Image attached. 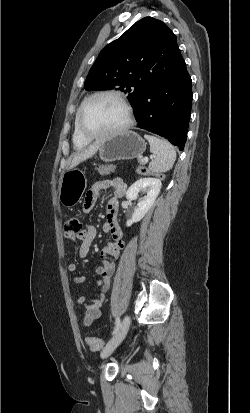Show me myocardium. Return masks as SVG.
<instances>
[{"instance_id":"myocardium-1","label":"myocardium","mask_w":250,"mask_h":413,"mask_svg":"<svg viewBox=\"0 0 250 413\" xmlns=\"http://www.w3.org/2000/svg\"><path fill=\"white\" fill-rule=\"evenodd\" d=\"M100 96H112L118 99L126 110V120L123 123V125H121L119 128L114 129L112 131L104 132V133H91L87 131L83 125V116H84V112L88 104L93 99L100 97ZM133 120H134L133 108L131 104L128 102V100L126 99V97L121 92L116 91V90H101V91H97L91 94L82 102L79 108V111H78L77 127H78V131L80 132V134L86 139H89V140L104 139V138L114 137V136L124 133L131 127V125L133 124Z\"/></svg>"}]
</instances>
